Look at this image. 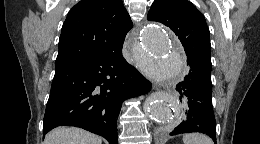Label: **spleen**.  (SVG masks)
Listing matches in <instances>:
<instances>
[{"mask_svg":"<svg viewBox=\"0 0 260 144\" xmlns=\"http://www.w3.org/2000/svg\"><path fill=\"white\" fill-rule=\"evenodd\" d=\"M184 144H213V141L201 133H190L183 136Z\"/></svg>","mask_w":260,"mask_h":144,"instance_id":"obj_1","label":"spleen"}]
</instances>
